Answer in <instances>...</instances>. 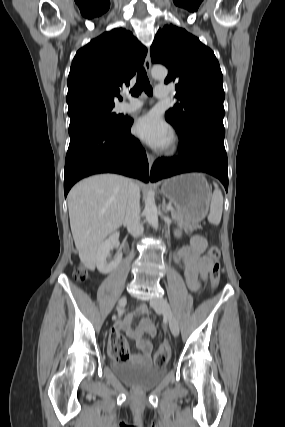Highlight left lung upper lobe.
I'll use <instances>...</instances> for the list:
<instances>
[{
  "mask_svg": "<svg viewBox=\"0 0 285 427\" xmlns=\"http://www.w3.org/2000/svg\"><path fill=\"white\" fill-rule=\"evenodd\" d=\"M153 63L165 65V83H176L179 103L165 113L178 133L185 134L201 121L223 125V75L214 52L185 29H159L150 49Z\"/></svg>",
  "mask_w": 285,
  "mask_h": 427,
  "instance_id": "left-lung-upper-lobe-1",
  "label": "left lung upper lobe"
}]
</instances>
